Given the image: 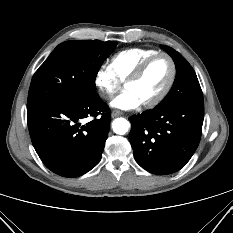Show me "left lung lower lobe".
Masks as SVG:
<instances>
[{
	"label": "left lung lower lobe",
	"instance_id": "obj_1",
	"mask_svg": "<svg viewBox=\"0 0 233 233\" xmlns=\"http://www.w3.org/2000/svg\"><path fill=\"white\" fill-rule=\"evenodd\" d=\"M203 119V102H178L131 116L136 162L156 175L177 172L198 147Z\"/></svg>",
	"mask_w": 233,
	"mask_h": 233
}]
</instances>
